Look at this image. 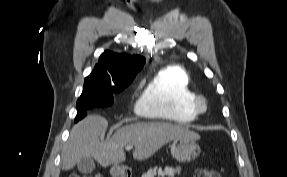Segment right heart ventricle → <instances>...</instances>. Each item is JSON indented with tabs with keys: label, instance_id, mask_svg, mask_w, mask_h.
<instances>
[{
	"label": "right heart ventricle",
	"instance_id": "e07e8e85",
	"mask_svg": "<svg viewBox=\"0 0 287 177\" xmlns=\"http://www.w3.org/2000/svg\"><path fill=\"white\" fill-rule=\"evenodd\" d=\"M195 97L187 71L179 66L167 67L147 84L137 104V111L151 120L190 123L196 117Z\"/></svg>",
	"mask_w": 287,
	"mask_h": 177
}]
</instances>
